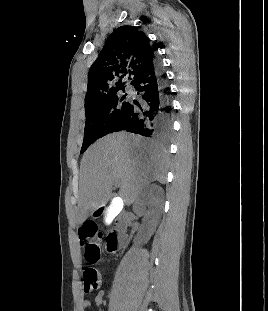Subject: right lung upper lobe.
<instances>
[{"label":"right lung upper lobe","instance_id":"right-lung-upper-lobe-1","mask_svg":"<svg viewBox=\"0 0 268 311\" xmlns=\"http://www.w3.org/2000/svg\"><path fill=\"white\" fill-rule=\"evenodd\" d=\"M156 50L144 32L133 26L118 27L90 68L85 110L124 89V76L129 75L131 83L140 77L153 63Z\"/></svg>","mask_w":268,"mask_h":311}]
</instances>
